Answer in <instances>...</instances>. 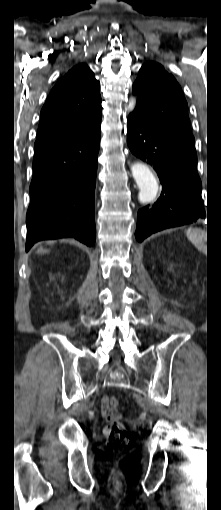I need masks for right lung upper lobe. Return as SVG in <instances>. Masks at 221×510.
Returning <instances> with one entry per match:
<instances>
[{
    "label": "right lung upper lobe",
    "instance_id": "cb5924a9",
    "mask_svg": "<svg viewBox=\"0 0 221 510\" xmlns=\"http://www.w3.org/2000/svg\"><path fill=\"white\" fill-rule=\"evenodd\" d=\"M100 83L85 64L62 77L44 104L35 148L79 134L101 120Z\"/></svg>",
    "mask_w": 221,
    "mask_h": 510
}]
</instances>
